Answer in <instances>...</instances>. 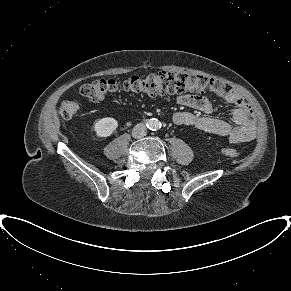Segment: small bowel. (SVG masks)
Segmentation results:
<instances>
[{
    "instance_id": "obj_1",
    "label": "small bowel",
    "mask_w": 291,
    "mask_h": 291,
    "mask_svg": "<svg viewBox=\"0 0 291 291\" xmlns=\"http://www.w3.org/2000/svg\"><path fill=\"white\" fill-rule=\"evenodd\" d=\"M219 96L226 104L233 106L230 122L211 117H200L188 111H180L173 115L174 123L227 137L230 143L253 140L256 137V125L251 107L234 90H223ZM177 102L206 114L213 112V105L203 96L180 94L177 97Z\"/></svg>"
}]
</instances>
